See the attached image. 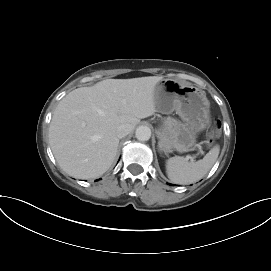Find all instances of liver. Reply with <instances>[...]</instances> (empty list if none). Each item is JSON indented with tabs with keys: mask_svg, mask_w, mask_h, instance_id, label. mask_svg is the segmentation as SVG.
I'll use <instances>...</instances> for the list:
<instances>
[{
	"mask_svg": "<svg viewBox=\"0 0 271 271\" xmlns=\"http://www.w3.org/2000/svg\"><path fill=\"white\" fill-rule=\"evenodd\" d=\"M162 79H106L68 93L49 127V143L60 168L80 179L103 175L117 154V128L128 124L132 131L140 119L156 112L154 90Z\"/></svg>",
	"mask_w": 271,
	"mask_h": 271,
	"instance_id": "liver-1",
	"label": "liver"
}]
</instances>
